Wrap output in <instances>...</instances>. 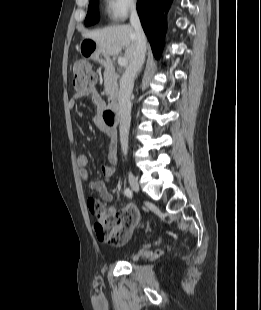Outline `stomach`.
Masks as SVG:
<instances>
[{
  "mask_svg": "<svg viewBox=\"0 0 261 310\" xmlns=\"http://www.w3.org/2000/svg\"><path fill=\"white\" fill-rule=\"evenodd\" d=\"M81 55L87 59L102 61V53L99 51V47L92 39H84L79 46Z\"/></svg>",
  "mask_w": 261,
  "mask_h": 310,
  "instance_id": "stomach-1",
  "label": "stomach"
}]
</instances>
